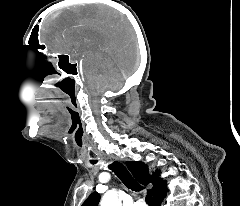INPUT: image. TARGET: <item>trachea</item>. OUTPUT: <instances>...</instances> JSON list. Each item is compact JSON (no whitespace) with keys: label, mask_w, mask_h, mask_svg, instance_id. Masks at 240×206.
Masks as SVG:
<instances>
[{"label":"trachea","mask_w":240,"mask_h":206,"mask_svg":"<svg viewBox=\"0 0 240 206\" xmlns=\"http://www.w3.org/2000/svg\"><path fill=\"white\" fill-rule=\"evenodd\" d=\"M96 163V162H93ZM109 168L117 175V177L124 183V185L132 191H141L143 187L136 182L126 167L117 161L113 162ZM146 202L149 206H154L152 195L148 192Z\"/></svg>","instance_id":"trachea-1"}]
</instances>
